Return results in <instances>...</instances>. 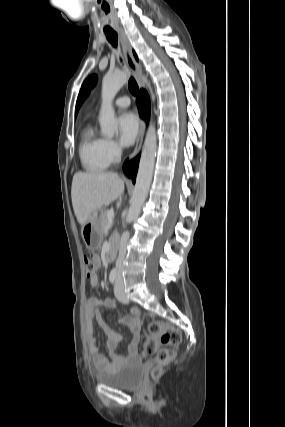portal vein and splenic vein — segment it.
<instances>
[{"mask_svg": "<svg viewBox=\"0 0 285 427\" xmlns=\"http://www.w3.org/2000/svg\"><path fill=\"white\" fill-rule=\"evenodd\" d=\"M108 223H107V225H106V228H105V230L107 231L111 226H112V224H113V217H114V211L113 210H110L109 212H108Z\"/></svg>", "mask_w": 285, "mask_h": 427, "instance_id": "portal-vein-and-splenic-vein-1", "label": "portal vein and splenic vein"}]
</instances>
